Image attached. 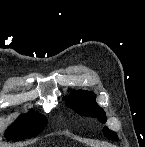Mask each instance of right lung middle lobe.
Returning <instances> with one entry per match:
<instances>
[{"mask_svg":"<svg viewBox=\"0 0 145 147\" xmlns=\"http://www.w3.org/2000/svg\"><path fill=\"white\" fill-rule=\"evenodd\" d=\"M47 123L45 116L32 112L20 116L6 131L8 140H22L38 135Z\"/></svg>","mask_w":145,"mask_h":147,"instance_id":"obj_1","label":"right lung middle lobe"}]
</instances>
